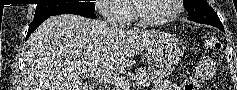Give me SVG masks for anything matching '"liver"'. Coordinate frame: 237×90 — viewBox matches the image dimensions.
<instances>
[{
	"label": "liver",
	"instance_id": "liver-1",
	"mask_svg": "<svg viewBox=\"0 0 237 90\" xmlns=\"http://www.w3.org/2000/svg\"><path fill=\"white\" fill-rule=\"evenodd\" d=\"M156 38L150 30H108L106 22L74 14L51 16L24 46V90H90L81 74L121 70Z\"/></svg>",
	"mask_w": 237,
	"mask_h": 90
}]
</instances>
